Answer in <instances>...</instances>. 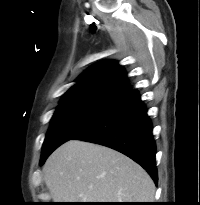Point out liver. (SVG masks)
Returning a JSON list of instances; mask_svg holds the SVG:
<instances>
[{"instance_id":"liver-1","label":"liver","mask_w":200,"mask_h":205,"mask_svg":"<svg viewBox=\"0 0 200 205\" xmlns=\"http://www.w3.org/2000/svg\"><path fill=\"white\" fill-rule=\"evenodd\" d=\"M44 180L56 202H153L155 185L127 156L71 140L46 160Z\"/></svg>"}]
</instances>
